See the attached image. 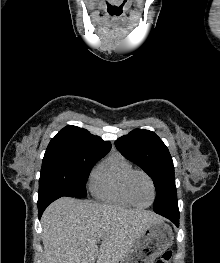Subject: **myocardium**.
I'll list each match as a JSON object with an SVG mask.
<instances>
[{
  "instance_id": "1",
  "label": "myocardium",
  "mask_w": 220,
  "mask_h": 263,
  "mask_svg": "<svg viewBox=\"0 0 220 263\" xmlns=\"http://www.w3.org/2000/svg\"><path fill=\"white\" fill-rule=\"evenodd\" d=\"M138 175L144 176V177L148 180V182H149V184H150V186H151V189H152V199H151V201H150L148 204H146V205H140V204H138V203L135 201V199H134V197H133V194H132V182H133L134 178H135L136 176H138ZM125 191H126V195H127L128 199H129V201H130L134 206H136V207H138V208H147V207L151 206V205L154 203L155 199H156V186H155V182H154L153 178H152L147 172H145V171H143V170H134V171H132V172L129 174V176L127 177V180H126V184H125Z\"/></svg>"
}]
</instances>
